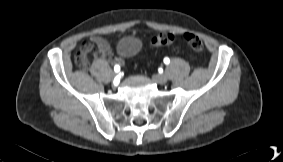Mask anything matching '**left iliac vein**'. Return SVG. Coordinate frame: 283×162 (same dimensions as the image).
<instances>
[{
    "label": "left iliac vein",
    "instance_id": "left-iliac-vein-1",
    "mask_svg": "<svg viewBox=\"0 0 283 162\" xmlns=\"http://www.w3.org/2000/svg\"><path fill=\"white\" fill-rule=\"evenodd\" d=\"M152 79L154 80V82H156L157 84H161V85L166 84L168 81L167 76L164 74H154L152 76Z\"/></svg>",
    "mask_w": 283,
    "mask_h": 162
}]
</instances>
